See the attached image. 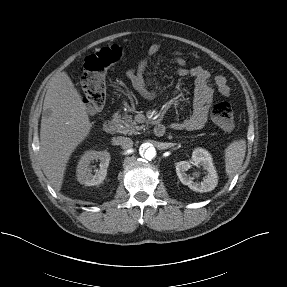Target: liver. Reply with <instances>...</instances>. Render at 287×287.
<instances>
[{"instance_id":"1","label":"liver","mask_w":287,"mask_h":287,"mask_svg":"<svg viewBox=\"0 0 287 287\" xmlns=\"http://www.w3.org/2000/svg\"><path fill=\"white\" fill-rule=\"evenodd\" d=\"M87 107L66 72L52 77L47 86L40 128V163L56 191L63 184L73 151L88 136Z\"/></svg>"}]
</instances>
